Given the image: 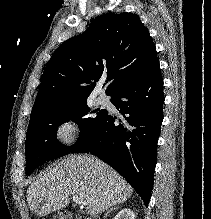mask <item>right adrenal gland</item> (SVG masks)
<instances>
[{
    "mask_svg": "<svg viewBox=\"0 0 211 219\" xmlns=\"http://www.w3.org/2000/svg\"><path fill=\"white\" fill-rule=\"evenodd\" d=\"M117 209H119V206H116V207L110 208V210H108V211L105 213V215H104V219L107 218L108 214H109L111 211H113V210H117Z\"/></svg>",
    "mask_w": 211,
    "mask_h": 219,
    "instance_id": "obj_1",
    "label": "right adrenal gland"
}]
</instances>
